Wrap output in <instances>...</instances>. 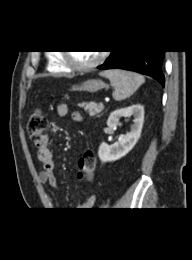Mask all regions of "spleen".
<instances>
[{
	"mask_svg": "<svg viewBox=\"0 0 192 260\" xmlns=\"http://www.w3.org/2000/svg\"><path fill=\"white\" fill-rule=\"evenodd\" d=\"M100 76L109 79L114 87L113 98L116 101L129 98L145 82L142 75L120 69L103 71Z\"/></svg>",
	"mask_w": 192,
	"mask_h": 260,
	"instance_id": "3e777b00",
	"label": "spleen"
}]
</instances>
